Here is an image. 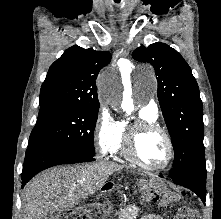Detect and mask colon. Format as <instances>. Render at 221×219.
Returning a JSON list of instances; mask_svg holds the SVG:
<instances>
[{
    "mask_svg": "<svg viewBox=\"0 0 221 219\" xmlns=\"http://www.w3.org/2000/svg\"><path fill=\"white\" fill-rule=\"evenodd\" d=\"M94 209L77 208L61 213L57 219H88L97 216ZM173 219H199L198 213L193 208H182Z\"/></svg>",
    "mask_w": 221,
    "mask_h": 219,
    "instance_id": "1",
    "label": "colon"
}]
</instances>
